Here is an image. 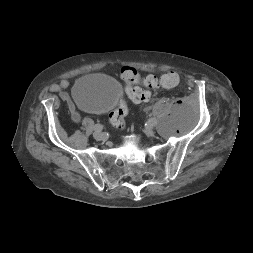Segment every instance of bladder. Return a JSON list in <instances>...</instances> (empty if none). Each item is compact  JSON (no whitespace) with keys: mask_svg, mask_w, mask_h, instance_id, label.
<instances>
[{"mask_svg":"<svg viewBox=\"0 0 253 253\" xmlns=\"http://www.w3.org/2000/svg\"><path fill=\"white\" fill-rule=\"evenodd\" d=\"M121 85L114 79L98 73L80 77L72 88L74 101L83 109L103 113L114 108L121 97Z\"/></svg>","mask_w":253,"mask_h":253,"instance_id":"1","label":"bladder"}]
</instances>
